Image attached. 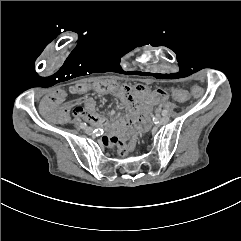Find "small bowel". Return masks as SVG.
<instances>
[{
	"label": "small bowel",
	"mask_w": 241,
	"mask_h": 241,
	"mask_svg": "<svg viewBox=\"0 0 241 241\" xmlns=\"http://www.w3.org/2000/svg\"><path fill=\"white\" fill-rule=\"evenodd\" d=\"M118 87L119 90L116 96L121 99L123 105L130 113L126 119L110 124L105 117L94 112L95 102L92 98H86L84 101L85 108L77 106L74 108L73 113L80 121H89L96 127L106 129L107 133L103 135L102 143L107 148H117L119 156L124 159L127 154L134 151L139 139L148 131L150 124L146 122L139 123L131 115L129 108H134L139 105L140 99L138 95L145 92V86L143 84H136L133 88H130L127 85H118ZM74 88L78 89L77 93L94 90L93 84L79 85ZM61 96V93L57 91L43 100L41 111L46 119L50 120L53 118L54 115L49 107L51 103L60 99ZM151 98L158 103H166L168 101V94L161 89H153L151 91ZM136 113L139 118L145 119L150 116L151 110L148 105L142 104L137 107ZM70 118V115L65 113L57 116L55 120L57 123L62 124L69 121Z\"/></svg>",
	"instance_id": "obj_1"
}]
</instances>
